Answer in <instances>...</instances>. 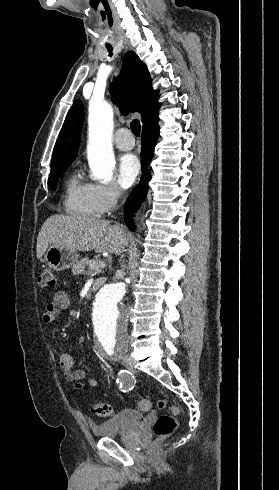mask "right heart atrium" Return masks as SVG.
Listing matches in <instances>:
<instances>
[{
	"label": "right heart atrium",
	"mask_w": 279,
	"mask_h": 490,
	"mask_svg": "<svg viewBox=\"0 0 279 490\" xmlns=\"http://www.w3.org/2000/svg\"><path fill=\"white\" fill-rule=\"evenodd\" d=\"M88 189L90 202L96 216H104L109 213L123 193L120 186L115 182L89 183Z\"/></svg>",
	"instance_id": "d8ad5b80"
}]
</instances>
